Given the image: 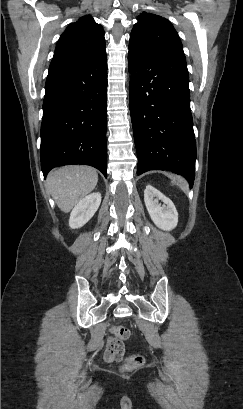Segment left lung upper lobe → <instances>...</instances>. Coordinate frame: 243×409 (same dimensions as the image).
Here are the masks:
<instances>
[{"mask_svg":"<svg viewBox=\"0 0 243 409\" xmlns=\"http://www.w3.org/2000/svg\"><path fill=\"white\" fill-rule=\"evenodd\" d=\"M137 20L130 35V55L136 58H150L167 52L184 54L180 38L167 19L143 12Z\"/></svg>","mask_w":243,"mask_h":409,"instance_id":"left-lung-upper-lobe-1","label":"left lung upper lobe"}]
</instances>
